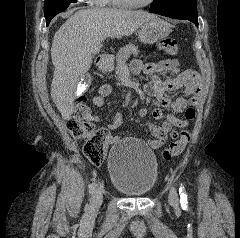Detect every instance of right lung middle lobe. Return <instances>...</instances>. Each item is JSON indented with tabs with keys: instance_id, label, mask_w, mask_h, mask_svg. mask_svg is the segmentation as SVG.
Here are the masks:
<instances>
[{
	"instance_id": "1",
	"label": "right lung middle lobe",
	"mask_w": 240,
	"mask_h": 238,
	"mask_svg": "<svg viewBox=\"0 0 240 238\" xmlns=\"http://www.w3.org/2000/svg\"><path fill=\"white\" fill-rule=\"evenodd\" d=\"M75 2L76 0H45L44 16L46 19V25H49V22L56 14L64 11L70 3Z\"/></svg>"
}]
</instances>
